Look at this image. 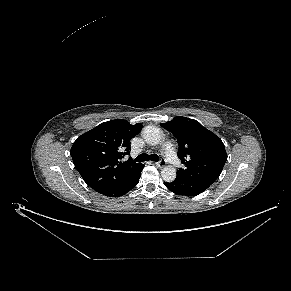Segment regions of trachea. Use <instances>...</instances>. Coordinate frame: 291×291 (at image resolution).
<instances>
[{
  "label": "trachea",
  "mask_w": 291,
  "mask_h": 291,
  "mask_svg": "<svg viewBox=\"0 0 291 291\" xmlns=\"http://www.w3.org/2000/svg\"><path fill=\"white\" fill-rule=\"evenodd\" d=\"M135 160H136V162H144L146 160H151V161L158 162L159 161V157L156 154L148 155L146 153H143V154H140Z\"/></svg>",
  "instance_id": "3493384b"
}]
</instances>
